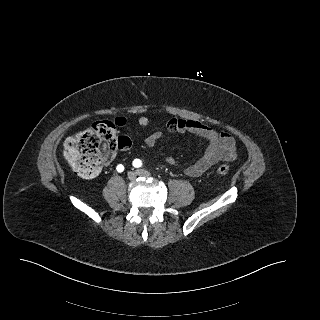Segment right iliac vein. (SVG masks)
<instances>
[{
  "label": "right iliac vein",
  "mask_w": 320,
  "mask_h": 320,
  "mask_svg": "<svg viewBox=\"0 0 320 320\" xmlns=\"http://www.w3.org/2000/svg\"><path fill=\"white\" fill-rule=\"evenodd\" d=\"M127 176H128V179L132 181V180L136 179L137 173L133 172V171H130V172H128Z\"/></svg>",
  "instance_id": "63e3f726"
}]
</instances>
